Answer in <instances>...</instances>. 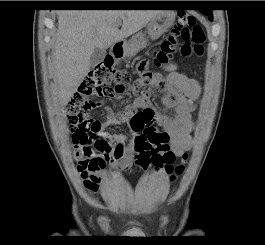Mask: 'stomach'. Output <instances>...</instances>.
Returning <instances> with one entry per match:
<instances>
[{"label":"stomach","instance_id":"obj_1","mask_svg":"<svg viewBox=\"0 0 265 245\" xmlns=\"http://www.w3.org/2000/svg\"><path fill=\"white\" fill-rule=\"evenodd\" d=\"M175 20V13L163 11L155 16L147 25V32L151 39H158L163 33L167 32ZM145 46V38L142 33H138L124 46V55H130L132 51L137 52Z\"/></svg>","mask_w":265,"mask_h":245}]
</instances>
